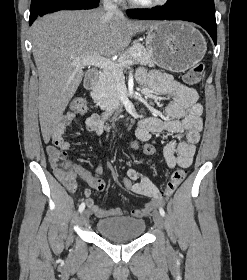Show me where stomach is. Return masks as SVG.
I'll return each mask as SVG.
<instances>
[{
  "instance_id": "1",
  "label": "stomach",
  "mask_w": 247,
  "mask_h": 280,
  "mask_svg": "<svg viewBox=\"0 0 247 280\" xmlns=\"http://www.w3.org/2000/svg\"><path fill=\"white\" fill-rule=\"evenodd\" d=\"M146 48L154 62L171 72H184L200 62L207 44L193 25L158 21L148 28Z\"/></svg>"
}]
</instances>
